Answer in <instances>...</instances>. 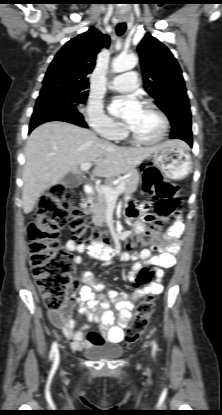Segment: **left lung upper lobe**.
Instances as JSON below:
<instances>
[{"label": "left lung upper lobe", "instance_id": "obj_1", "mask_svg": "<svg viewBox=\"0 0 222 415\" xmlns=\"http://www.w3.org/2000/svg\"><path fill=\"white\" fill-rule=\"evenodd\" d=\"M144 89L169 118L172 128L191 122L189 99L177 60L149 33L138 45Z\"/></svg>", "mask_w": 222, "mask_h": 415}]
</instances>
